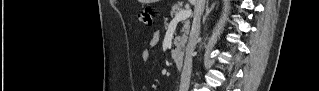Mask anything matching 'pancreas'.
Returning a JSON list of instances; mask_svg holds the SVG:
<instances>
[{
    "label": "pancreas",
    "instance_id": "cf45deb5",
    "mask_svg": "<svg viewBox=\"0 0 319 91\" xmlns=\"http://www.w3.org/2000/svg\"><path fill=\"white\" fill-rule=\"evenodd\" d=\"M182 10V6L179 4H175L174 6H172L171 9V16H175L177 13H179ZM184 27L181 30L182 35L181 36H176L174 39V45L176 46V49L172 51V56L175 57L176 55H181L183 50H184V46L185 43L187 41V37L189 34V29H190V25H189V21L186 20L184 21Z\"/></svg>",
    "mask_w": 319,
    "mask_h": 91
}]
</instances>
